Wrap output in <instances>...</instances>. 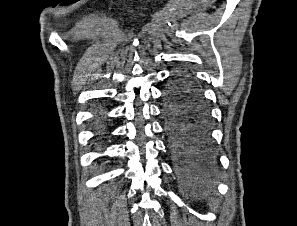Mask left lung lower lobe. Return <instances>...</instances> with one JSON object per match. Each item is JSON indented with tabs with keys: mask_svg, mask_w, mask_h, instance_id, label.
Here are the masks:
<instances>
[{
	"mask_svg": "<svg viewBox=\"0 0 297 226\" xmlns=\"http://www.w3.org/2000/svg\"><path fill=\"white\" fill-rule=\"evenodd\" d=\"M162 113L175 170L188 184L213 179L214 156L209 145L208 111L193 80L176 73L164 91Z\"/></svg>",
	"mask_w": 297,
	"mask_h": 226,
	"instance_id": "0a47b994",
	"label": "left lung lower lobe"
}]
</instances>
